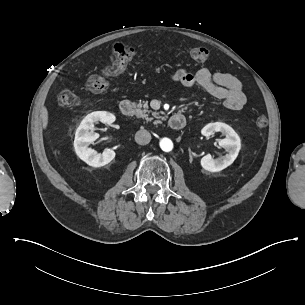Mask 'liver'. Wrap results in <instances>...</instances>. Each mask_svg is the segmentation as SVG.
Returning <instances> with one entry per match:
<instances>
[{"label":"liver","mask_w":305,"mask_h":305,"mask_svg":"<svg viewBox=\"0 0 305 305\" xmlns=\"http://www.w3.org/2000/svg\"><path fill=\"white\" fill-rule=\"evenodd\" d=\"M42 117H43V128H46L48 124V112L47 109L44 107L42 111Z\"/></svg>","instance_id":"1"}]
</instances>
